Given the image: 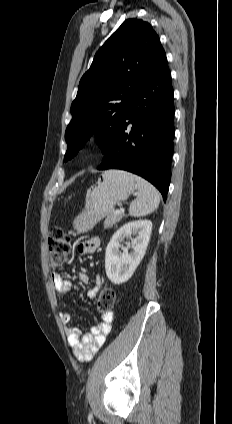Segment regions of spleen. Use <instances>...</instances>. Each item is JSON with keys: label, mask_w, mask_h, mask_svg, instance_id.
Returning a JSON list of instances; mask_svg holds the SVG:
<instances>
[{"label": "spleen", "mask_w": 232, "mask_h": 424, "mask_svg": "<svg viewBox=\"0 0 232 424\" xmlns=\"http://www.w3.org/2000/svg\"><path fill=\"white\" fill-rule=\"evenodd\" d=\"M137 187V198L132 201L129 207V214L133 217H141L154 212L160 203V195L157 189L148 181L133 175Z\"/></svg>", "instance_id": "obj_1"}]
</instances>
